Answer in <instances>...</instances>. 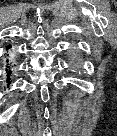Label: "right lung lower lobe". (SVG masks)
<instances>
[{
  "label": "right lung lower lobe",
  "mask_w": 117,
  "mask_h": 136,
  "mask_svg": "<svg viewBox=\"0 0 117 136\" xmlns=\"http://www.w3.org/2000/svg\"><path fill=\"white\" fill-rule=\"evenodd\" d=\"M12 45L8 44L5 46V53L4 58L0 63V88L4 89L9 87L13 81L14 74H15V64H14V54L11 52Z\"/></svg>",
  "instance_id": "1"
}]
</instances>
